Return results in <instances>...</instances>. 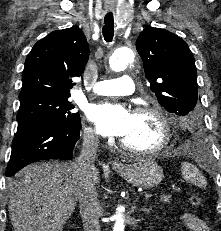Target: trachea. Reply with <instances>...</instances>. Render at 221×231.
Returning a JSON list of instances; mask_svg holds the SVG:
<instances>
[{"instance_id":"3493384b","label":"trachea","mask_w":221,"mask_h":231,"mask_svg":"<svg viewBox=\"0 0 221 231\" xmlns=\"http://www.w3.org/2000/svg\"><path fill=\"white\" fill-rule=\"evenodd\" d=\"M104 22L102 29L104 39L106 42H111L114 36V17L111 12L105 15Z\"/></svg>"}]
</instances>
